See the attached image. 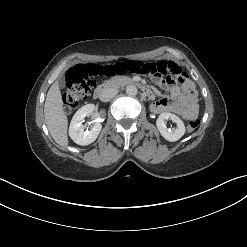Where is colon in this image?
Here are the masks:
<instances>
[{
  "instance_id": "5ec220e1",
  "label": "colon",
  "mask_w": 247,
  "mask_h": 247,
  "mask_svg": "<svg viewBox=\"0 0 247 247\" xmlns=\"http://www.w3.org/2000/svg\"><path fill=\"white\" fill-rule=\"evenodd\" d=\"M142 65V61L127 60L115 64H77L66 74L63 89V105L67 113L73 112L87 98L97 77L115 76L132 72ZM200 125L198 119L188 122L186 128L193 132Z\"/></svg>"
}]
</instances>
